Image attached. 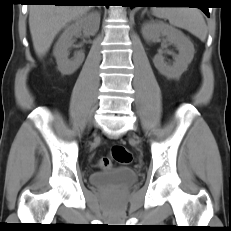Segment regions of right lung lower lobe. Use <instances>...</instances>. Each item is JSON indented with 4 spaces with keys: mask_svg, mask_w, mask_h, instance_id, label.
<instances>
[{
    "mask_svg": "<svg viewBox=\"0 0 231 231\" xmlns=\"http://www.w3.org/2000/svg\"><path fill=\"white\" fill-rule=\"evenodd\" d=\"M29 3H52L55 5H74L76 2L71 1H81V0H26Z\"/></svg>",
    "mask_w": 231,
    "mask_h": 231,
    "instance_id": "98d812e1",
    "label": "right lung lower lobe"
}]
</instances>
